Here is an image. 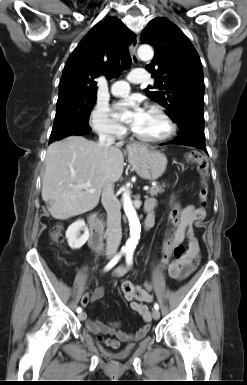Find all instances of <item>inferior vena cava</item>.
<instances>
[{"instance_id": "obj_1", "label": "inferior vena cava", "mask_w": 247, "mask_h": 385, "mask_svg": "<svg viewBox=\"0 0 247 385\" xmlns=\"http://www.w3.org/2000/svg\"><path fill=\"white\" fill-rule=\"evenodd\" d=\"M114 141V137L109 134L100 133L99 135V143L105 148H109ZM101 202L107 212L106 255L113 256L117 253L122 238L120 204L114 194L113 182H108L104 186Z\"/></svg>"}]
</instances>
